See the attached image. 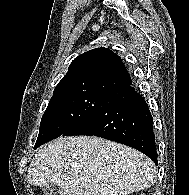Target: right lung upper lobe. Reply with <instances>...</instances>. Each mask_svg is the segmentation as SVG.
Wrapping results in <instances>:
<instances>
[{
	"label": "right lung upper lobe",
	"mask_w": 189,
	"mask_h": 195,
	"mask_svg": "<svg viewBox=\"0 0 189 195\" xmlns=\"http://www.w3.org/2000/svg\"><path fill=\"white\" fill-rule=\"evenodd\" d=\"M129 84L131 78L121 58L110 49L97 48L72 61L54 93L87 89L110 94Z\"/></svg>",
	"instance_id": "obj_1"
}]
</instances>
